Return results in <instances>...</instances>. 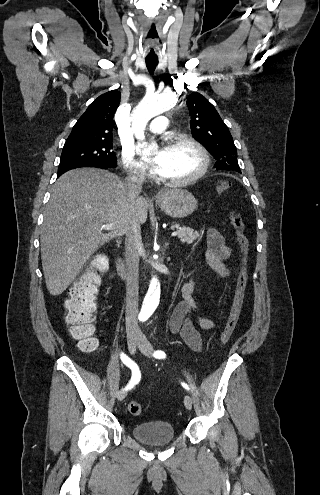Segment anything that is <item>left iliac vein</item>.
I'll use <instances>...</instances> for the list:
<instances>
[{"instance_id":"4c4485c4","label":"left iliac vein","mask_w":320,"mask_h":495,"mask_svg":"<svg viewBox=\"0 0 320 495\" xmlns=\"http://www.w3.org/2000/svg\"><path fill=\"white\" fill-rule=\"evenodd\" d=\"M137 345L144 355L148 357L152 355L153 347L142 333L137 335ZM184 405L188 410L192 409V397L188 394L184 397Z\"/></svg>"}]
</instances>
